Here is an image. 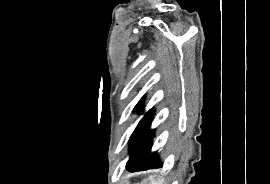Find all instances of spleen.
Segmentation results:
<instances>
[{"label": "spleen", "mask_w": 270, "mask_h": 184, "mask_svg": "<svg viewBox=\"0 0 270 184\" xmlns=\"http://www.w3.org/2000/svg\"><path fill=\"white\" fill-rule=\"evenodd\" d=\"M140 184H163V183H162V180L160 179L155 180L153 176H150L148 179H145Z\"/></svg>", "instance_id": "3e777b00"}]
</instances>
